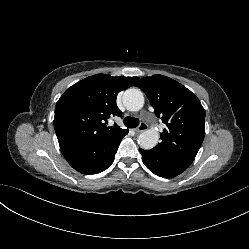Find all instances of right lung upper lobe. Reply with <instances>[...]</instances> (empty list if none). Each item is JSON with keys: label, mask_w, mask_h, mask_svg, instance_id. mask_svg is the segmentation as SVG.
Wrapping results in <instances>:
<instances>
[{"label": "right lung upper lobe", "mask_w": 249, "mask_h": 249, "mask_svg": "<svg viewBox=\"0 0 249 249\" xmlns=\"http://www.w3.org/2000/svg\"><path fill=\"white\" fill-rule=\"evenodd\" d=\"M138 77L96 74L68 88L55 107L54 128L60 146L95 144L128 132L108 118L121 116L116 106L120 91L135 85Z\"/></svg>", "instance_id": "1"}]
</instances>
